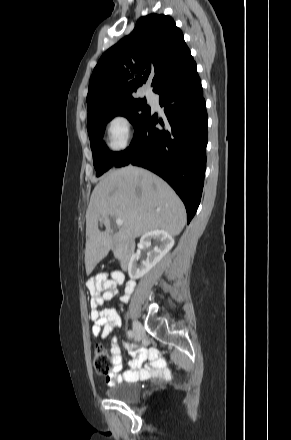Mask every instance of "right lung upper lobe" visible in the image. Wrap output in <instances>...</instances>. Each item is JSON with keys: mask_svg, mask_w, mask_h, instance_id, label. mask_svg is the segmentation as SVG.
Segmentation results:
<instances>
[{"mask_svg": "<svg viewBox=\"0 0 291 440\" xmlns=\"http://www.w3.org/2000/svg\"><path fill=\"white\" fill-rule=\"evenodd\" d=\"M196 66L181 30L170 16L141 17L129 36L109 48L90 77L88 111L133 97L147 80L156 92Z\"/></svg>", "mask_w": 291, "mask_h": 440, "instance_id": "obj_1", "label": "right lung upper lobe"}]
</instances>
